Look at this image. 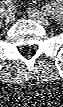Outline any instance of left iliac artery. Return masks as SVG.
Masks as SVG:
<instances>
[{
	"label": "left iliac artery",
	"instance_id": "obj_1",
	"mask_svg": "<svg viewBox=\"0 0 63 107\" xmlns=\"http://www.w3.org/2000/svg\"><path fill=\"white\" fill-rule=\"evenodd\" d=\"M52 8H51V6L48 4V5H46V7H45V13L46 14H50L51 12H52Z\"/></svg>",
	"mask_w": 63,
	"mask_h": 107
}]
</instances>
